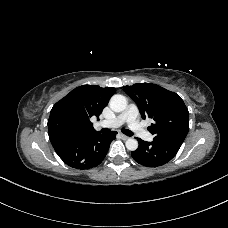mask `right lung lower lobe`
<instances>
[{"mask_svg":"<svg viewBox=\"0 0 228 228\" xmlns=\"http://www.w3.org/2000/svg\"><path fill=\"white\" fill-rule=\"evenodd\" d=\"M116 133L112 131L104 135L98 132L88 137L62 140L52 145L58 156L68 166L89 169L103 161Z\"/></svg>","mask_w":228,"mask_h":228,"instance_id":"98d812e1","label":"right lung lower lobe"}]
</instances>
